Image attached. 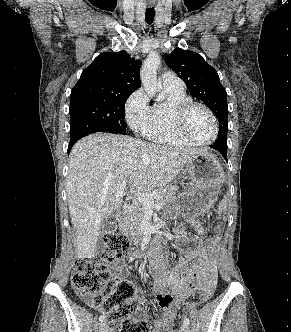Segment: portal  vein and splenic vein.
I'll use <instances>...</instances> for the list:
<instances>
[{"mask_svg":"<svg viewBox=\"0 0 291 332\" xmlns=\"http://www.w3.org/2000/svg\"><path fill=\"white\" fill-rule=\"evenodd\" d=\"M126 185H123L120 190L115 194V197L119 199L122 196V193L125 189ZM135 196L137 197V200L139 202H142L144 205L154 207L156 209L162 208V204L160 203H155L153 195L150 193H144V192H137L135 193Z\"/></svg>","mask_w":291,"mask_h":332,"instance_id":"1","label":"portal vein and splenic vein"}]
</instances>
